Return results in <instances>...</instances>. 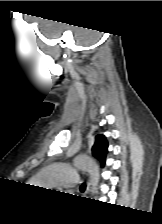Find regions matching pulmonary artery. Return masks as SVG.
I'll return each instance as SVG.
<instances>
[{"label": "pulmonary artery", "instance_id": "obj_1", "mask_svg": "<svg viewBox=\"0 0 162 224\" xmlns=\"http://www.w3.org/2000/svg\"><path fill=\"white\" fill-rule=\"evenodd\" d=\"M40 180L47 185L59 187H76L80 184L77 170L68 164L45 168Z\"/></svg>", "mask_w": 162, "mask_h": 224}]
</instances>
